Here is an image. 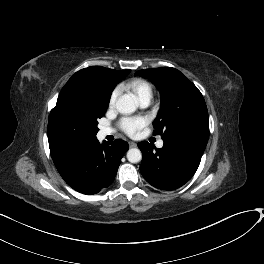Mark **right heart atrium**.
<instances>
[{"instance_id": "d8ad5b80", "label": "right heart atrium", "mask_w": 264, "mask_h": 264, "mask_svg": "<svg viewBox=\"0 0 264 264\" xmlns=\"http://www.w3.org/2000/svg\"><path fill=\"white\" fill-rule=\"evenodd\" d=\"M119 95V91L118 90H114L111 95H110V99H109V106L112 108L115 106L117 97Z\"/></svg>"}]
</instances>
